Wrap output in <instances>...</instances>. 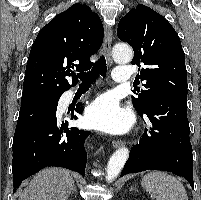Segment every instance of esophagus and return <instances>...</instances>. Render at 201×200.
Segmentation results:
<instances>
[{"label": "esophagus", "instance_id": "34e87169", "mask_svg": "<svg viewBox=\"0 0 201 200\" xmlns=\"http://www.w3.org/2000/svg\"><path fill=\"white\" fill-rule=\"evenodd\" d=\"M112 36H113V30H112L111 26L108 24H105L104 25L103 49H104V53L106 55L107 62L109 63V65H111L113 63L112 55H111ZM122 145H123V141H121V140H114L112 142V146L114 148H118Z\"/></svg>", "mask_w": 201, "mask_h": 200}]
</instances>
